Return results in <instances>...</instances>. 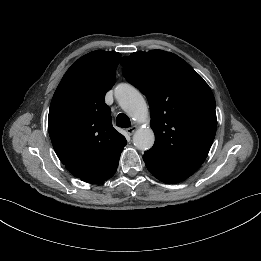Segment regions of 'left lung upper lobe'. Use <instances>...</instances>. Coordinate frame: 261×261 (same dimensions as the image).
I'll return each instance as SVG.
<instances>
[{
  "instance_id": "left-lung-upper-lobe-1",
  "label": "left lung upper lobe",
  "mask_w": 261,
  "mask_h": 261,
  "mask_svg": "<svg viewBox=\"0 0 261 261\" xmlns=\"http://www.w3.org/2000/svg\"><path fill=\"white\" fill-rule=\"evenodd\" d=\"M124 77L147 97L153 147L146 151L177 165L200 167L217 128L215 98L194 69L177 55L135 52L121 60Z\"/></svg>"
}]
</instances>
